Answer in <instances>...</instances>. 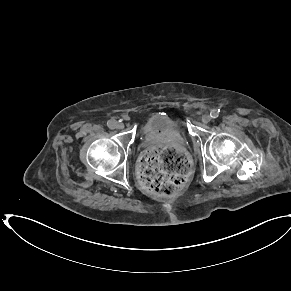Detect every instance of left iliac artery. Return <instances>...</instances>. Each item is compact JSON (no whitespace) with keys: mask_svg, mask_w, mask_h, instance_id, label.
Segmentation results:
<instances>
[{"mask_svg":"<svg viewBox=\"0 0 291 291\" xmlns=\"http://www.w3.org/2000/svg\"><path fill=\"white\" fill-rule=\"evenodd\" d=\"M219 114H220V110H213V111H211L210 116L213 119H215V118H217L219 116Z\"/></svg>","mask_w":291,"mask_h":291,"instance_id":"1","label":"left iliac artery"}]
</instances>
